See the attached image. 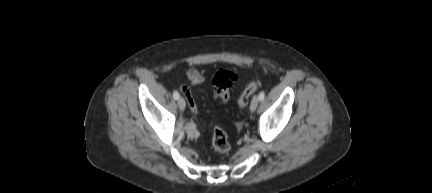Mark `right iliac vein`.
<instances>
[{"mask_svg": "<svg viewBox=\"0 0 432 193\" xmlns=\"http://www.w3.org/2000/svg\"><path fill=\"white\" fill-rule=\"evenodd\" d=\"M178 106L180 110H184L186 107L185 100L182 97L178 98Z\"/></svg>", "mask_w": 432, "mask_h": 193, "instance_id": "right-iliac-vein-1", "label": "right iliac vein"}]
</instances>
